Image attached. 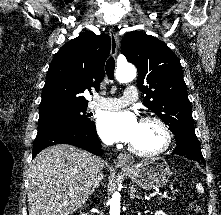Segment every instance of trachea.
<instances>
[{
	"label": "trachea",
	"instance_id": "3493384b",
	"mask_svg": "<svg viewBox=\"0 0 221 215\" xmlns=\"http://www.w3.org/2000/svg\"><path fill=\"white\" fill-rule=\"evenodd\" d=\"M106 74L110 80L114 79V70H115V60L113 57H110L106 62Z\"/></svg>",
	"mask_w": 221,
	"mask_h": 215
}]
</instances>
